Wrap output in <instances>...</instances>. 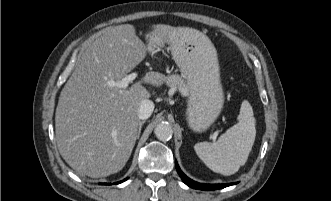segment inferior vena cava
Returning <instances> with one entry per match:
<instances>
[{
    "mask_svg": "<svg viewBox=\"0 0 331 201\" xmlns=\"http://www.w3.org/2000/svg\"><path fill=\"white\" fill-rule=\"evenodd\" d=\"M154 110V103L151 100H144L138 108V118L141 120L148 119Z\"/></svg>",
    "mask_w": 331,
    "mask_h": 201,
    "instance_id": "obj_1",
    "label": "inferior vena cava"
}]
</instances>
